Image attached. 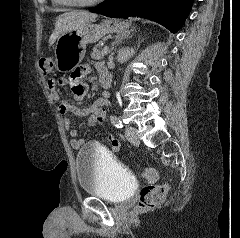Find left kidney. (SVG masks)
Masks as SVG:
<instances>
[{"label": "left kidney", "instance_id": "obj_1", "mask_svg": "<svg viewBox=\"0 0 240 238\" xmlns=\"http://www.w3.org/2000/svg\"><path fill=\"white\" fill-rule=\"evenodd\" d=\"M134 49L124 48L118 51L117 61L120 63L126 62L130 57L134 55Z\"/></svg>", "mask_w": 240, "mask_h": 238}]
</instances>
